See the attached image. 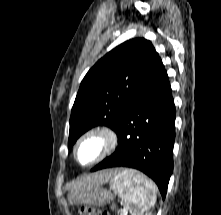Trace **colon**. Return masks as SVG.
<instances>
[{
    "instance_id": "colon-1",
    "label": "colon",
    "mask_w": 221,
    "mask_h": 215,
    "mask_svg": "<svg viewBox=\"0 0 221 215\" xmlns=\"http://www.w3.org/2000/svg\"><path fill=\"white\" fill-rule=\"evenodd\" d=\"M80 215H109V214L95 207H83L80 210Z\"/></svg>"
}]
</instances>
